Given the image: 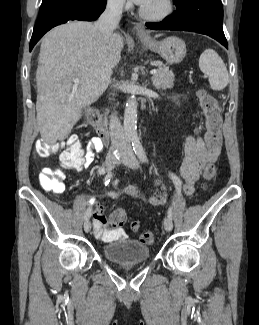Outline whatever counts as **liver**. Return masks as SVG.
<instances>
[{
    "label": "liver",
    "instance_id": "1",
    "mask_svg": "<svg viewBox=\"0 0 259 325\" xmlns=\"http://www.w3.org/2000/svg\"><path fill=\"white\" fill-rule=\"evenodd\" d=\"M159 36V35H157ZM123 39L108 40L86 21L57 26L42 39L36 71L37 123L42 140L54 145L65 139L85 107L107 89L121 59ZM78 78L79 83H74Z\"/></svg>",
    "mask_w": 259,
    "mask_h": 325
}]
</instances>
